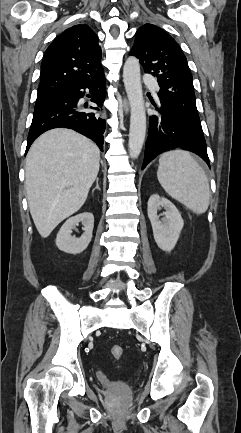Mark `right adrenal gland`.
<instances>
[{
  "label": "right adrenal gland",
  "mask_w": 241,
  "mask_h": 433,
  "mask_svg": "<svg viewBox=\"0 0 241 433\" xmlns=\"http://www.w3.org/2000/svg\"><path fill=\"white\" fill-rule=\"evenodd\" d=\"M95 190H99V191H101V189H100V187H99V178H98V177L96 178V187L93 188L92 193H94Z\"/></svg>",
  "instance_id": "right-adrenal-gland-1"
}]
</instances>
